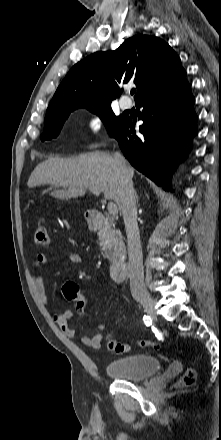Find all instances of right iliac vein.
Wrapping results in <instances>:
<instances>
[{
  "label": "right iliac vein",
  "instance_id": "obj_1",
  "mask_svg": "<svg viewBox=\"0 0 221 440\" xmlns=\"http://www.w3.org/2000/svg\"><path fill=\"white\" fill-rule=\"evenodd\" d=\"M141 304L143 305L145 312L152 318L156 317L155 308H154V301L151 297L147 296L142 301Z\"/></svg>",
  "mask_w": 221,
  "mask_h": 440
}]
</instances>
